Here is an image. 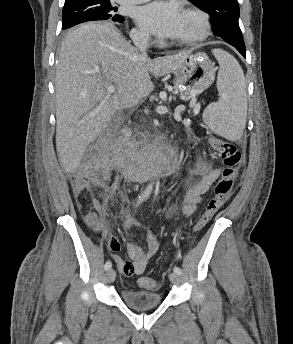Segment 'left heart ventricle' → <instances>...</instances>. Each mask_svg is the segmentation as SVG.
<instances>
[{"label":"left heart ventricle","mask_w":293,"mask_h":344,"mask_svg":"<svg viewBox=\"0 0 293 344\" xmlns=\"http://www.w3.org/2000/svg\"><path fill=\"white\" fill-rule=\"evenodd\" d=\"M198 29V23L194 17L182 15V23L177 33L172 37L173 41L193 36Z\"/></svg>","instance_id":"b2bd125f"}]
</instances>
